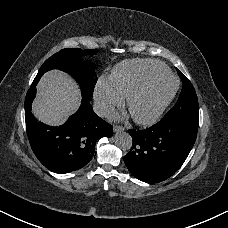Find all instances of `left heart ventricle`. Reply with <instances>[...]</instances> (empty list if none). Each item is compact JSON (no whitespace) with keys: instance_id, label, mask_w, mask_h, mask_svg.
Here are the masks:
<instances>
[{"instance_id":"left-heart-ventricle-1","label":"left heart ventricle","mask_w":228,"mask_h":228,"mask_svg":"<svg viewBox=\"0 0 228 228\" xmlns=\"http://www.w3.org/2000/svg\"><path fill=\"white\" fill-rule=\"evenodd\" d=\"M174 87V82L169 80L162 85L157 84L152 90L145 91L132 104L133 113L140 118H148L169 95Z\"/></svg>"}]
</instances>
